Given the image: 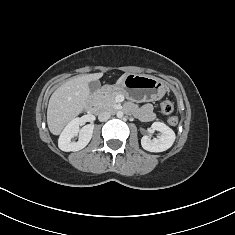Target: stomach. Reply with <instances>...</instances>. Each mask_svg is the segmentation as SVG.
I'll use <instances>...</instances> for the list:
<instances>
[{
  "label": "stomach",
  "instance_id": "stomach-1",
  "mask_svg": "<svg viewBox=\"0 0 235 235\" xmlns=\"http://www.w3.org/2000/svg\"><path fill=\"white\" fill-rule=\"evenodd\" d=\"M166 83L154 76L128 74L122 83L111 86V90L123 93L133 102L160 100L166 93Z\"/></svg>",
  "mask_w": 235,
  "mask_h": 235
}]
</instances>
